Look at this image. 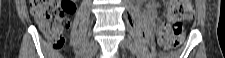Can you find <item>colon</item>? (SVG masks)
<instances>
[{
    "label": "colon",
    "mask_w": 225,
    "mask_h": 58,
    "mask_svg": "<svg viewBox=\"0 0 225 58\" xmlns=\"http://www.w3.org/2000/svg\"><path fill=\"white\" fill-rule=\"evenodd\" d=\"M75 5L67 0H34L31 12L46 40L54 48H60L69 29L67 14L74 11ZM193 14L191 0H170L167 2V22L157 31L158 45L164 50H173L183 41V22Z\"/></svg>",
    "instance_id": "1"
}]
</instances>
